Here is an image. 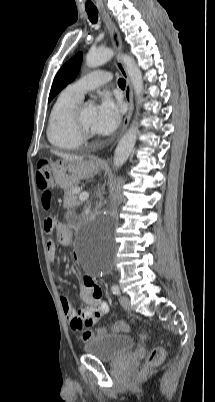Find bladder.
I'll return each mask as SVG.
<instances>
[{"label":"bladder","mask_w":215,"mask_h":402,"mask_svg":"<svg viewBox=\"0 0 215 402\" xmlns=\"http://www.w3.org/2000/svg\"><path fill=\"white\" fill-rule=\"evenodd\" d=\"M135 346L132 337L124 334H100L84 344V351L102 361H114Z\"/></svg>","instance_id":"1"}]
</instances>
